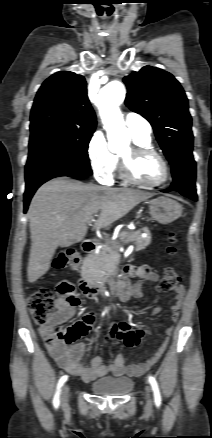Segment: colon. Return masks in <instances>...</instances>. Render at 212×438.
I'll list each match as a JSON object with an SVG mask.
<instances>
[{
  "label": "colon",
  "instance_id": "obj_1",
  "mask_svg": "<svg viewBox=\"0 0 212 438\" xmlns=\"http://www.w3.org/2000/svg\"><path fill=\"white\" fill-rule=\"evenodd\" d=\"M171 240L174 239V234L170 235ZM168 253H175V248L173 246L168 247ZM80 263V255L77 251L73 249H68L62 251L54 260L53 267L55 269L64 268H77ZM180 276L172 269L168 268L163 274L162 279L158 285V289L162 292L176 291L180 285ZM58 298H55L51 289L46 287H41L34 291L29 297V307L31 315L34 321L40 325H48L56 311L58 306V301L60 299L64 300L69 304H74L78 302L75 290L73 286L64 285L58 290ZM53 331L56 337L66 343H72L82 336L86 335L88 332V327L82 321H78L66 328H61L59 324L53 326Z\"/></svg>",
  "mask_w": 212,
  "mask_h": 438
}]
</instances>
